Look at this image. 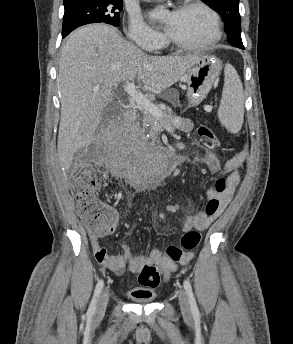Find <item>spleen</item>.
Returning a JSON list of instances; mask_svg holds the SVG:
<instances>
[{"label": "spleen", "instance_id": "1", "mask_svg": "<svg viewBox=\"0 0 293 344\" xmlns=\"http://www.w3.org/2000/svg\"><path fill=\"white\" fill-rule=\"evenodd\" d=\"M218 119L231 133L240 131L244 119L243 86L235 68L227 64Z\"/></svg>", "mask_w": 293, "mask_h": 344}]
</instances>
